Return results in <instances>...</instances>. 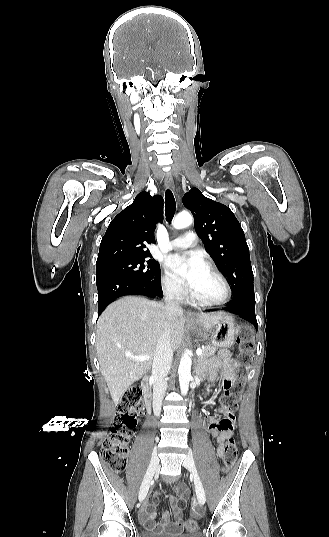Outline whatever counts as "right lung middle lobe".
I'll list each match as a JSON object with an SVG mask.
<instances>
[{
	"label": "right lung middle lobe",
	"mask_w": 329,
	"mask_h": 537,
	"mask_svg": "<svg viewBox=\"0 0 329 537\" xmlns=\"http://www.w3.org/2000/svg\"><path fill=\"white\" fill-rule=\"evenodd\" d=\"M97 276L101 274H114L138 280H148L158 283L161 279V270L155 259L136 258L114 260L96 265Z\"/></svg>",
	"instance_id": "right-lung-middle-lobe-1"
}]
</instances>
